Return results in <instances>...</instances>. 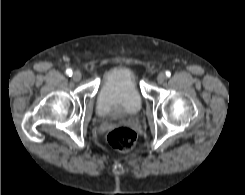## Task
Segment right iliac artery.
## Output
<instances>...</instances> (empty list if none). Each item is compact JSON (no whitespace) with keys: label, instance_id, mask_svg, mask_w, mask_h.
Segmentation results:
<instances>
[{"label":"right iliac artery","instance_id":"82829eb1","mask_svg":"<svg viewBox=\"0 0 245 195\" xmlns=\"http://www.w3.org/2000/svg\"><path fill=\"white\" fill-rule=\"evenodd\" d=\"M66 74H67L68 76H72V70H71V69H67V70H66Z\"/></svg>","mask_w":245,"mask_h":195}]
</instances>
